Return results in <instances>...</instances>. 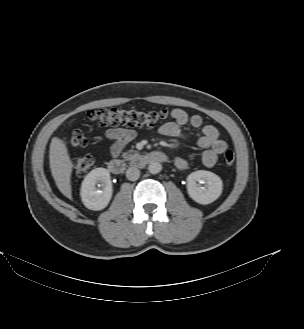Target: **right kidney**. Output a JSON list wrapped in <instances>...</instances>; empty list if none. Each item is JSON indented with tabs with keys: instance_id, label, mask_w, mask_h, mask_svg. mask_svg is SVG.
<instances>
[{
	"instance_id": "1",
	"label": "right kidney",
	"mask_w": 304,
	"mask_h": 329,
	"mask_svg": "<svg viewBox=\"0 0 304 329\" xmlns=\"http://www.w3.org/2000/svg\"><path fill=\"white\" fill-rule=\"evenodd\" d=\"M101 183L102 190L97 189L96 185ZM112 184L110 173L105 168H95L84 178L80 196L83 204L90 210L104 209L112 197Z\"/></svg>"
}]
</instances>
